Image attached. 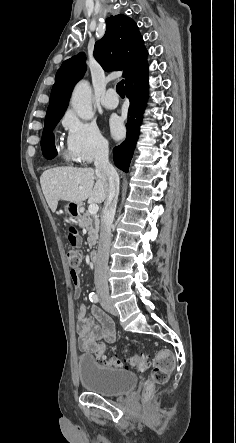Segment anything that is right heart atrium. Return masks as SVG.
<instances>
[{
  "label": "right heart atrium",
  "mask_w": 236,
  "mask_h": 443,
  "mask_svg": "<svg viewBox=\"0 0 236 443\" xmlns=\"http://www.w3.org/2000/svg\"><path fill=\"white\" fill-rule=\"evenodd\" d=\"M66 129L65 157L78 164H90L107 151V141L94 123L80 119L74 111L63 117Z\"/></svg>",
  "instance_id": "right-heart-atrium-1"
}]
</instances>
